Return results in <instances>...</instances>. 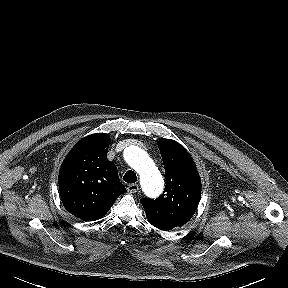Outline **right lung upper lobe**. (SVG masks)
I'll return each instance as SVG.
<instances>
[{
  "label": "right lung upper lobe",
  "instance_id": "right-lung-upper-lobe-1",
  "mask_svg": "<svg viewBox=\"0 0 288 288\" xmlns=\"http://www.w3.org/2000/svg\"><path fill=\"white\" fill-rule=\"evenodd\" d=\"M111 139L93 134L77 143L60 168V196L66 210L87 220L103 217L116 199L126 192L116 166L107 159Z\"/></svg>",
  "mask_w": 288,
  "mask_h": 288
}]
</instances>
